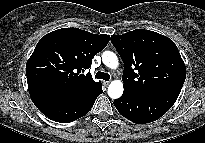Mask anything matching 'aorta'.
<instances>
[{"mask_svg":"<svg viewBox=\"0 0 205 143\" xmlns=\"http://www.w3.org/2000/svg\"><path fill=\"white\" fill-rule=\"evenodd\" d=\"M102 62L110 69H116L118 66V58L112 51H104L102 53ZM108 95L112 99H118L123 94V83L120 80L112 81L108 86Z\"/></svg>","mask_w":205,"mask_h":143,"instance_id":"aorta-1","label":"aorta"}]
</instances>
